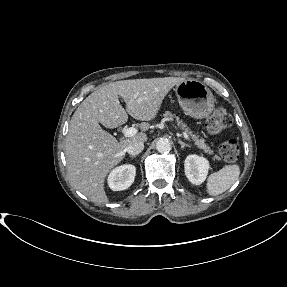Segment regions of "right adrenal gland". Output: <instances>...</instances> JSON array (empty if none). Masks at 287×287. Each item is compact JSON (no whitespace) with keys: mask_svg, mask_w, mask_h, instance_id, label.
<instances>
[{"mask_svg":"<svg viewBox=\"0 0 287 287\" xmlns=\"http://www.w3.org/2000/svg\"><path fill=\"white\" fill-rule=\"evenodd\" d=\"M130 157H131V158H136V156H135V155H131Z\"/></svg>","mask_w":287,"mask_h":287,"instance_id":"2a0ac1e0","label":"right adrenal gland"}]
</instances>
